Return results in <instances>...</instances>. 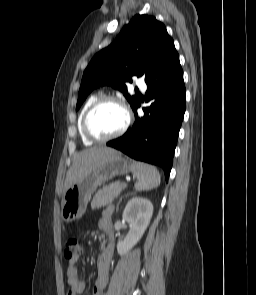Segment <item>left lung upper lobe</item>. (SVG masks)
I'll return each instance as SVG.
<instances>
[{"mask_svg":"<svg viewBox=\"0 0 256 295\" xmlns=\"http://www.w3.org/2000/svg\"><path fill=\"white\" fill-rule=\"evenodd\" d=\"M179 61L173 39L165 26L153 16L136 15L123 27L115 41L97 53L84 71L76 110L96 87L111 85L124 92L131 107L139 99L127 93L132 76L154 81Z\"/></svg>","mask_w":256,"mask_h":295,"instance_id":"obj_1","label":"left lung upper lobe"}]
</instances>
